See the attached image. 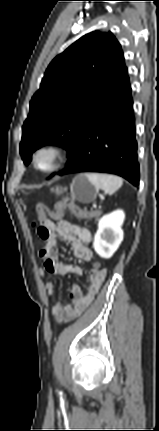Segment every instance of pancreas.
<instances>
[{
	"label": "pancreas",
	"instance_id": "1",
	"mask_svg": "<svg viewBox=\"0 0 159 431\" xmlns=\"http://www.w3.org/2000/svg\"><path fill=\"white\" fill-rule=\"evenodd\" d=\"M98 216H99V212H90L86 215V218H94Z\"/></svg>",
	"mask_w": 159,
	"mask_h": 431
}]
</instances>
